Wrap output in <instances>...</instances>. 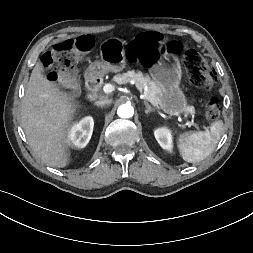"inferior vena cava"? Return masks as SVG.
<instances>
[{
	"mask_svg": "<svg viewBox=\"0 0 253 253\" xmlns=\"http://www.w3.org/2000/svg\"><path fill=\"white\" fill-rule=\"evenodd\" d=\"M111 102H112V99H102V100H99V101L95 102V104L97 106H101L102 107V106L110 104Z\"/></svg>",
	"mask_w": 253,
	"mask_h": 253,
	"instance_id": "1",
	"label": "inferior vena cava"
}]
</instances>
